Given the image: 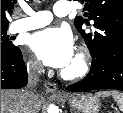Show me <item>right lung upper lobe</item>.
<instances>
[{
    "instance_id": "obj_1",
    "label": "right lung upper lobe",
    "mask_w": 123,
    "mask_h": 113,
    "mask_svg": "<svg viewBox=\"0 0 123 113\" xmlns=\"http://www.w3.org/2000/svg\"><path fill=\"white\" fill-rule=\"evenodd\" d=\"M16 0H1V28L7 27L9 21L7 15L12 13Z\"/></svg>"
}]
</instances>
